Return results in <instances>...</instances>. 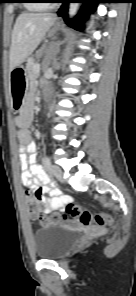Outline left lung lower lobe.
<instances>
[{
  "label": "left lung lower lobe",
  "mask_w": 136,
  "mask_h": 296,
  "mask_svg": "<svg viewBox=\"0 0 136 296\" xmlns=\"http://www.w3.org/2000/svg\"><path fill=\"white\" fill-rule=\"evenodd\" d=\"M71 2L84 3V5L81 9L80 14L76 18L69 20L67 16V4ZM98 3H101V0H65L63 2L61 9L58 11V15L62 16L66 23L69 24L71 27L77 30H81L83 26V21L86 18L85 13L89 11H94Z\"/></svg>",
  "instance_id": "0a47b994"
}]
</instances>
